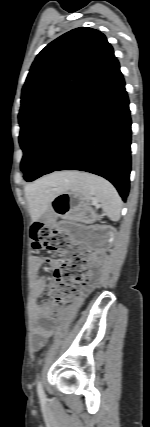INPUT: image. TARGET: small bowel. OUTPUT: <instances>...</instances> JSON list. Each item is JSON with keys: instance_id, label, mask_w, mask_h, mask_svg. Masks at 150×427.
Listing matches in <instances>:
<instances>
[{"instance_id": "obj_1", "label": "small bowel", "mask_w": 150, "mask_h": 427, "mask_svg": "<svg viewBox=\"0 0 150 427\" xmlns=\"http://www.w3.org/2000/svg\"><path fill=\"white\" fill-rule=\"evenodd\" d=\"M44 263H47L52 268H58L61 262L58 259L52 258L35 257L33 259L32 268L35 273V290L37 295H41L47 286L46 278L38 275ZM49 319L50 312L46 307H39L35 310L36 326L32 337V347L34 350L42 348L54 333V328L45 324Z\"/></svg>"}]
</instances>
